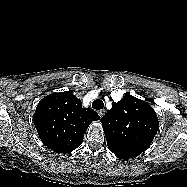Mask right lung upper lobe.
<instances>
[{
    "mask_svg": "<svg viewBox=\"0 0 187 187\" xmlns=\"http://www.w3.org/2000/svg\"><path fill=\"white\" fill-rule=\"evenodd\" d=\"M100 116L82 108L71 91L52 93L36 107L34 125L42 142L57 153H69L82 142L88 126Z\"/></svg>",
    "mask_w": 187,
    "mask_h": 187,
    "instance_id": "obj_1",
    "label": "right lung upper lobe"
}]
</instances>
